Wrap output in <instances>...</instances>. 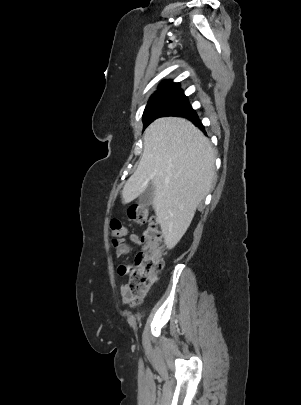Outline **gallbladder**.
Listing matches in <instances>:
<instances>
[{
  "label": "gallbladder",
  "mask_w": 301,
  "mask_h": 405,
  "mask_svg": "<svg viewBox=\"0 0 301 405\" xmlns=\"http://www.w3.org/2000/svg\"><path fill=\"white\" fill-rule=\"evenodd\" d=\"M155 187L151 183L146 190L139 196L138 203L142 207H148L152 204L154 199Z\"/></svg>",
  "instance_id": "bac80fb5"
}]
</instances>
